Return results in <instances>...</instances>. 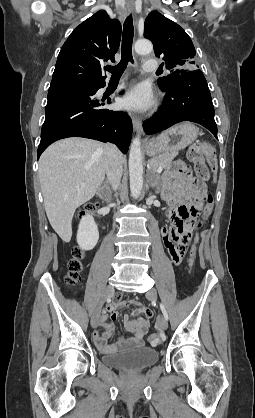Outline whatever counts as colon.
Listing matches in <instances>:
<instances>
[{"mask_svg":"<svg viewBox=\"0 0 255 418\" xmlns=\"http://www.w3.org/2000/svg\"><path fill=\"white\" fill-rule=\"evenodd\" d=\"M212 154L211 147L206 143H197L193 145L189 151V160L193 163L196 175L202 181L210 179L212 172L214 171L213 165L210 162V156ZM97 207L96 203H90L86 205L84 210L81 212V218L85 219L88 215L93 214ZM213 199L210 195L205 197V204L203 209L204 216H207L212 211ZM197 210L190 212L189 216L180 221L174 228H196L200 229L204 220L197 218ZM194 238V239H193ZM192 245H190V251L188 252L189 258L188 263L190 265L195 263V256L197 255L199 242L198 235L194 234L191 239ZM188 250V249H187ZM84 252L80 248H75L73 257L68 264V272L66 275L67 284L74 286L78 284L82 277L81 272L83 268L82 259ZM149 343L157 345L161 341V336L157 333H153L149 336Z\"/></svg>","mask_w":255,"mask_h":418,"instance_id":"5ec220e1","label":"colon"}]
</instances>
